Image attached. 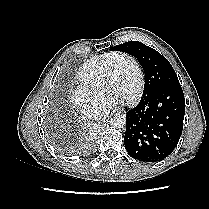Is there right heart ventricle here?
<instances>
[{
  "label": "right heart ventricle",
  "mask_w": 209,
  "mask_h": 209,
  "mask_svg": "<svg viewBox=\"0 0 209 209\" xmlns=\"http://www.w3.org/2000/svg\"><path fill=\"white\" fill-rule=\"evenodd\" d=\"M118 52H108L92 57L79 69L78 85L86 90L102 94L103 75L109 62Z\"/></svg>",
  "instance_id": "e07e8e85"
}]
</instances>
